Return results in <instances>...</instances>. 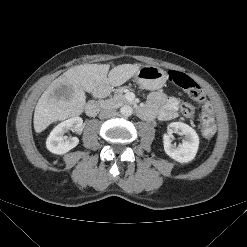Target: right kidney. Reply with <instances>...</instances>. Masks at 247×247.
Returning <instances> with one entry per match:
<instances>
[{
  "mask_svg": "<svg viewBox=\"0 0 247 247\" xmlns=\"http://www.w3.org/2000/svg\"><path fill=\"white\" fill-rule=\"evenodd\" d=\"M83 129V120L81 117H72L58 124L50 133L46 140L47 149L54 154H65L79 143L77 137L66 139L64 134L69 130L73 132H81Z\"/></svg>",
  "mask_w": 247,
  "mask_h": 247,
  "instance_id": "right-kidney-1",
  "label": "right kidney"
}]
</instances>
